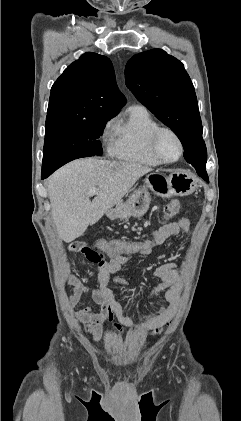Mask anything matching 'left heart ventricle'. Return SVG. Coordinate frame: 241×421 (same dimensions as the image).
Returning a JSON list of instances; mask_svg holds the SVG:
<instances>
[{
	"label": "left heart ventricle",
	"instance_id": "1",
	"mask_svg": "<svg viewBox=\"0 0 241 421\" xmlns=\"http://www.w3.org/2000/svg\"><path fill=\"white\" fill-rule=\"evenodd\" d=\"M159 151L166 160H173L178 156L180 148L171 134L164 133L159 140Z\"/></svg>",
	"mask_w": 241,
	"mask_h": 421
}]
</instances>
